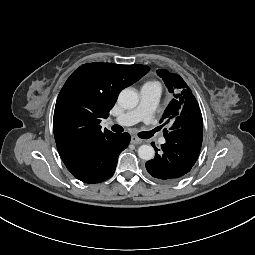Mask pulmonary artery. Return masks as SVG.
I'll use <instances>...</instances> for the list:
<instances>
[{
	"label": "pulmonary artery",
	"instance_id": "e3ab8cb5",
	"mask_svg": "<svg viewBox=\"0 0 255 255\" xmlns=\"http://www.w3.org/2000/svg\"><path fill=\"white\" fill-rule=\"evenodd\" d=\"M160 94L161 87L158 83L144 84L140 90V102L137 107L117 116L114 121L122 126H130L140 121L149 124L152 121ZM160 143L164 144L165 139L161 138Z\"/></svg>",
	"mask_w": 255,
	"mask_h": 255
}]
</instances>
